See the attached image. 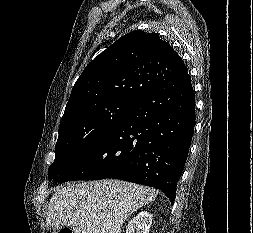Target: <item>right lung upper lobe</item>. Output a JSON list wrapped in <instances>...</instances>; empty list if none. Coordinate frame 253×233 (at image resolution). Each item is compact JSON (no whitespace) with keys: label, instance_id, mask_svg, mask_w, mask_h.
Listing matches in <instances>:
<instances>
[{"label":"right lung upper lobe","instance_id":"1","mask_svg":"<svg viewBox=\"0 0 253 233\" xmlns=\"http://www.w3.org/2000/svg\"><path fill=\"white\" fill-rule=\"evenodd\" d=\"M184 67L181 57L157 33L132 31L86 66L72 89L63 116L108 99L136 100Z\"/></svg>","mask_w":253,"mask_h":233}]
</instances>
